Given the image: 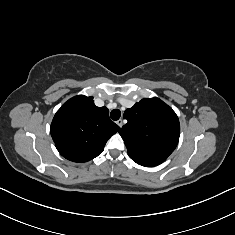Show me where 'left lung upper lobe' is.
<instances>
[{
  "mask_svg": "<svg viewBox=\"0 0 235 235\" xmlns=\"http://www.w3.org/2000/svg\"><path fill=\"white\" fill-rule=\"evenodd\" d=\"M127 123L119 133L129 157L139 165L153 167L164 162L176 148L180 124L177 115L158 98L142 99L124 112Z\"/></svg>",
  "mask_w": 235,
  "mask_h": 235,
  "instance_id": "obj_1",
  "label": "left lung upper lobe"
}]
</instances>
